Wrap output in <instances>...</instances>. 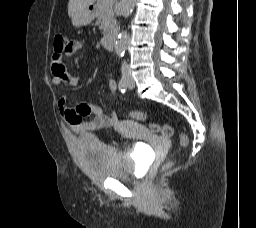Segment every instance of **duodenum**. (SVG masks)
<instances>
[{
  "mask_svg": "<svg viewBox=\"0 0 256 228\" xmlns=\"http://www.w3.org/2000/svg\"><path fill=\"white\" fill-rule=\"evenodd\" d=\"M116 37H117V33L115 31L105 34L102 38V43L104 47L108 50L113 49Z\"/></svg>",
  "mask_w": 256,
  "mask_h": 228,
  "instance_id": "duodenum-1",
  "label": "duodenum"
}]
</instances>
